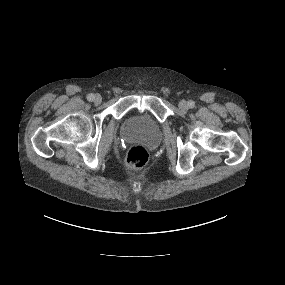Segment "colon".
<instances>
[{
	"mask_svg": "<svg viewBox=\"0 0 285 285\" xmlns=\"http://www.w3.org/2000/svg\"><path fill=\"white\" fill-rule=\"evenodd\" d=\"M148 160L149 152L141 145L132 146L125 156V164L130 170L141 169L147 164Z\"/></svg>",
	"mask_w": 285,
	"mask_h": 285,
	"instance_id": "5ec220e1",
	"label": "colon"
}]
</instances>
